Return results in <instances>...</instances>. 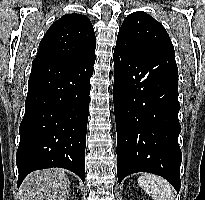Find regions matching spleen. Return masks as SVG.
Returning a JSON list of instances; mask_svg holds the SVG:
<instances>
[{
	"label": "spleen",
	"instance_id": "1",
	"mask_svg": "<svg viewBox=\"0 0 205 200\" xmlns=\"http://www.w3.org/2000/svg\"><path fill=\"white\" fill-rule=\"evenodd\" d=\"M137 181L153 200H175L173 188L164 178L153 174H143Z\"/></svg>",
	"mask_w": 205,
	"mask_h": 200
}]
</instances>
